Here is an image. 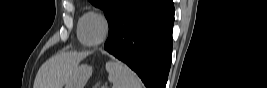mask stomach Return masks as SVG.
<instances>
[{"mask_svg":"<svg viewBox=\"0 0 267 88\" xmlns=\"http://www.w3.org/2000/svg\"><path fill=\"white\" fill-rule=\"evenodd\" d=\"M91 75L92 67L83 64L74 71L69 81L66 83L65 88H84Z\"/></svg>","mask_w":267,"mask_h":88,"instance_id":"0dacf381","label":"stomach"}]
</instances>
